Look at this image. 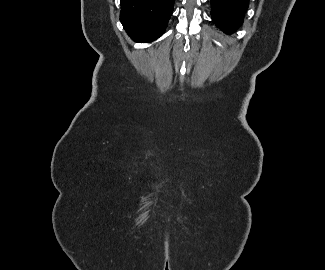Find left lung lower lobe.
Returning a JSON list of instances; mask_svg holds the SVG:
<instances>
[{"instance_id": "left-lung-lower-lobe-1", "label": "left lung lower lobe", "mask_w": 325, "mask_h": 270, "mask_svg": "<svg viewBox=\"0 0 325 270\" xmlns=\"http://www.w3.org/2000/svg\"><path fill=\"white\" fill-rule=\"evenodd\" d=\"M212 20L223 32L231 34L243 22L249 0H211Z\"/></svg>"}]
</instances>
